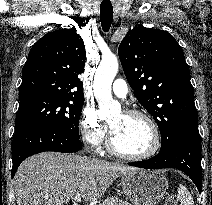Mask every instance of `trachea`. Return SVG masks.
<instances>
[{
  "label": "trachea",
  "mask_w": 212,
  "mask_h": 205,
  "mask_svg": "<svg viewBox=\"0 0 212 205\" xmlns=\"http://www.w3.org/2000/svg\"><path fill=\"white\" fill-rule=\"evenodd\" d=\"M113 20V7L111 4L100 5V21L103 31L108 32Z\"/></svg>",
  "instance_id": "1"
}]
</instances>
